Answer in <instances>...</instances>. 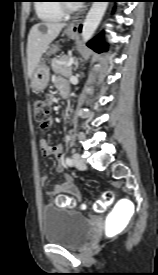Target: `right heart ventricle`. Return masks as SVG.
Wrapping results in <instances>:
<instances>
[{
  "instance_id": "e07e8e85",
  "label": "right heart ventricle",
  "mask_w": 158,
  "mask_h": 275,
  "mask_svg": "<svg viewBox=\"0 0 158 275\" xmlns=\"http://www.w3.org/2000/svg\"><path fill=\"white\" fill-rule=\"evenodd\" d=\"M59 0H41L36 6V12L40 19L44 21H60L64 17Z\"/></svg>"
}]
</instances>
